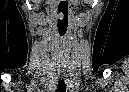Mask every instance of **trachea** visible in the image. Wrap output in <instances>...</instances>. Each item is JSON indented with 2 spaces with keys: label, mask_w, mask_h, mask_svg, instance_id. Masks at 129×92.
<instances>
[{
  "label": "trachea",
  "mask_w": 129,
  "mask_h": 92,
  "mask_svg": "<svg viewBox=\"0 0 129 92\" xmlns=\"http://www.w3.org/2000/svg\"><path fill=\"white\" fill-rule=\"evenodd\" d=\"M57 92H66V86L64 79L58 81Z\"/></svg>",
  "instance_id": "obj_1"
}]
</instances>
